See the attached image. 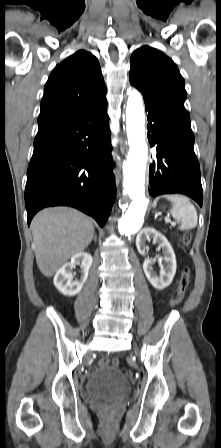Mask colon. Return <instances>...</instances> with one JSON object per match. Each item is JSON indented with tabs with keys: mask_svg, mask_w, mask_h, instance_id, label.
Returning <instances> with one entry per match:
<instances>
[{
	"mask_svg": "<svg viewBox=\"0 0 221 448\" xmlns=\"http://www.w3.org/2000/svg\"><path fill=\"white\" fill-rule=\"evenodd\" d=\"M191 239H192V236H191L190 233H186L184 235V237H183V240H184L185 244H189L191 242ZM189 277H190V269L188 267H185L184 270H183L182 277L180 279L179 285L175 289V291L173 293V296H172V305L173 306H177L181 302V300L183 298V295H184V292L186 291V289H187V287L189 285ZM108 363H109V361L106 358H102L99 361V364L102 365V366H106ZM119 363H120V361H119L118 358H114L112 360V365L113 366L117 367V366H119ZM125 375L130 378L132 376V373H131V371H126ZM104 417L107 420L114 419V417H115L114 411L111 410V409L106 410L104 412Z\"/></svg>",
	"mask_w": 221,
	"mask_h": 448,
	"instance_id": "5ec220e1",
	"label": "colon"
}]
</instances>
